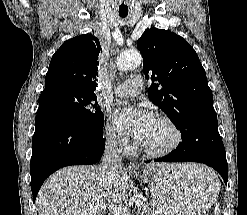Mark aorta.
<instances>
[{
    "label": "aorta",
    "mask_w": 247,
    "mask_h": 215,
    "mask_svg": "<svg viewBox=\"0 0 247 215\" xmlns=\"http://www.w3.org/2000/svg\"><path fill=\"white\" fill-rule=\"evenodd\" d=\"M142 62V56L138 52H123L117 58V68L120 71H127L133 67H137Z\"/></svg>",
    "instance_id": "aorta-1"
}]
</instances>
